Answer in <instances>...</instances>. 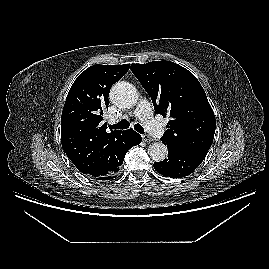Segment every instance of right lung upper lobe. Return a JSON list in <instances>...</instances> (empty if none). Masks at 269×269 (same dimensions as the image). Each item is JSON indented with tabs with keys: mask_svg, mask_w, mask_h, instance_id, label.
<instances>
[{
	"mask_svg": "<svg viewBox=\"0 0 269 269\" xmlns=\"http://www.w3.org/2000/svg\"><path fill=\"white\" fill-rule=\"evenodd\" d=\"M130 64L93 65L74 81L61 117V143L79 171L92 177L107 175L117 162L123 132H106L103 110L109 105L112 85L129 70Z\"/></svg>",
	"mask_w": 269,
	"mask_h": 269,
	"instance_id": "obj_1",
	"label": "right lung upper lobe"
}]
</instances>
